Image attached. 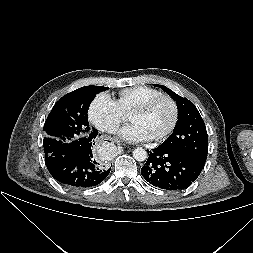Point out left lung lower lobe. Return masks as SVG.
<instances>
[{
	"instance_id": "left-lung-lower-lobe-1",
	"label": "left lung lower lobe",
	"mask_w": 253,
	"mask_h": 253,
	"mask_svg": "<svg viewBox=\"0 0 253 253\" xmlns=\"http://www.w3.org/2000/svg\"><path fill=\"white\" fill-rule=\"evenodd\" d=\"M147 152L149 157L141 174L147 182L161 189H186L198 178L205 164L189 154L161 145Z\"/></svg>"
}]
</instances>
